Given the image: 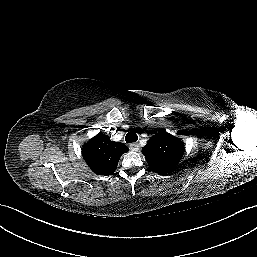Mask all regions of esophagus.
<instances>
[{
	"label": "esophagus",
	"instance_id": "esophagus-1",
	"mask_svg": "<svg viewBox=\"0 0 257 257\" xmlns=\"http://www.w3.org/2000/svg\"><path fill=\"white\" fill-rule=\"evenodd\" d=\"M139 144H137V143H131L130 145H129V148L132 150V151H138L139 150Z\"/></svg>",
	"mask_w": 257,
	"mask_h": 257
}]
</instances>
